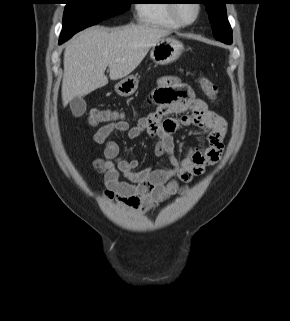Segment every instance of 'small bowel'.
I'll return each instance as SVG.
<instances>
[{
	"label": "small bowel",
	"instance_id": "obj_1",
	"mask_svg": "<svg viewBox=\"0 0 290 321\" xmlns=\"http://www.w3.org/2000/svg\"><path fill=\"white\" fill-rule=\"evenodd\" d=\"M156 105L154 111L130 126L126 121H115L100 127L94 135L103 156L94 158L92 166L105 186L107 200L115 201L125 210L147 213L169 197L182 193L186 184L218 162L227 132V121L211 111L195 96L191 87L176 76H164L149 95ZM197 126L207 132L205 150L188 148L183 159L178 157L174 133L182 127ZM114 133H126L129 139L142 134L157 140L154 155L165 156L171 169H139L137 159L120 156V146L110 140ZM123 175L128 181H121Z\"/></svg>",
	"mask_w": 290,
	"mask_h": 321
}]
</instances>
